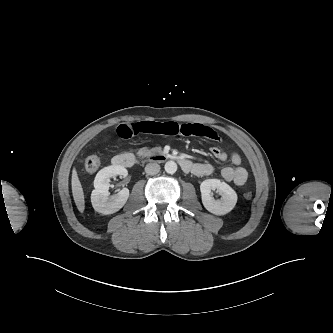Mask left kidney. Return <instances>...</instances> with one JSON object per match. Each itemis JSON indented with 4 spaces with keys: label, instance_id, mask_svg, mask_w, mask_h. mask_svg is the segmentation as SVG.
Returning a JSON list of instances; mask_svg holds the SVG:
<instances>
[{
    "label": "left kidney",
    "instance_id": "left-kidney-1",
    "mask_svg": "<svg viewBox=\"0 0 333 333\" xmlns=\"http://www.w3.org/2000/svg\"><path fill=\"white\" fill-rule=\"evenodd\" d=\"M217 189L221 193L220 199H214L211 191ZM201 198L204 207L215 215L229 213L237 203L236 192L225 182L218 179L204 180L200 185Z\"/></svg>",
    "mask_w": 333,
    "mask_h": 333
}]
</instances>
